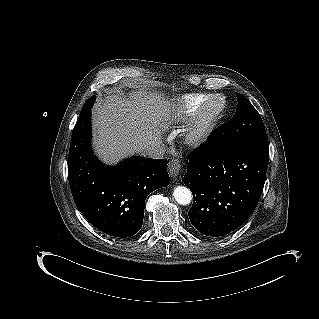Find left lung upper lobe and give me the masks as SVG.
<instances>
[{
  "label": "left lung upper lobe",
  "mask_w": 319,
  "mask_h": 319,
  "mask_svg": "<svg viewBox=\"0 0 319 319\" xmlns=\"http://www.w3.org/2000/svg\"><path fill=\"white\" fill-rule=\"evenodd\" d=\"M238 107L234 116L216 129L212 135L211 148L219 146L243 144L264 140L267 141L266 131L260 114L249 100L242 94L236 93Z\"/></svg>",
  "instance_id": "5c2ea615"
}]
</instances>
